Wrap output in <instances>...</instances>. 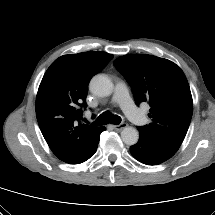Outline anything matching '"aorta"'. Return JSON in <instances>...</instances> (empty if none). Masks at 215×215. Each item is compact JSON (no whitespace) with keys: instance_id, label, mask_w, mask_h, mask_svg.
<instances>
[{"instance_id":"762f6f07","label":"aorta","mask_w":215,"mask_h":215,"mask_svg":"<svg viewBox=\"0 0 215 215\" xmlns=\"http://www.w3.org/2000/svg\"><path fill=\"white\" fill-rule=\"evenodd\" d=\"M90 91L99 97L110 96L114 85L109 77L103 74L95 75L89 84ZM121 138L126 145H134L138 142L139 132L134 127H125L121 132Z\"/></svg>"}]
</instances>
